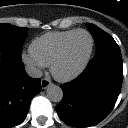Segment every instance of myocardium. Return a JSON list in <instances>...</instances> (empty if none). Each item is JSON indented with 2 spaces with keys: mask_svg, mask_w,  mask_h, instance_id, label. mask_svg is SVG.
I'll use <instances>...</instances> for the list:
<instances>
[{
  "mask_svg": "<svg viewBox=\"0 0 128 128\" xmlns=\"http://www.w3.org/2000/svg\"><path fill=\"white\" fill-rule=\"evenodd\" d=\"M78 33H85L89 37L90 47H89L88 53L85 56L83 62L80 64V66L77 69H75L73 72H71L67 75H61L57 72V67L64 57L66 48H67L70 40ZM93 48H94V39H93L92 34L89 31H87L85 29H76L75 31H73L63 41V43L60 46L55 58L53 59L51 65H50V71H51L52 76L59 82H70V81L74 80L75 78H77L78 76H80L83 73V71L86 69V67L90 61V58H91V55L93 52Z\"/></svg>",
  "mask_w": 128,
  "mask_h": 128,
  "instance_id": "myocardium-1",
  "label": "myocardium"
}]
</instances>
